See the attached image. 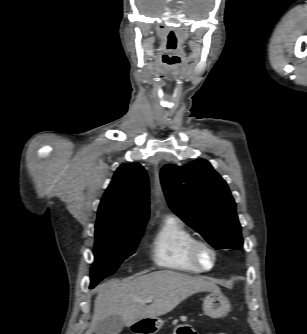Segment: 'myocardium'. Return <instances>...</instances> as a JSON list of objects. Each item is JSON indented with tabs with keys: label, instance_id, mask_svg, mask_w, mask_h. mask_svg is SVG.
<instances>
[{
	"label": "myocardium",
	"instance_id": "1",
	"mask_svg": "<svg viewBox=\"0 0 307 334\" xmlns=\"http://www.w3.org/2000/svg\"><path fill=\"white\" fill-rule=\"evenodd\" d=\"M206 249L208 250L213 257L212 264L210 266H205L200 258V250ZM188 253L189 257L192 260L194 264H196L199 268H201L203 271H210L212 270L218 261V253L216 248L209 243L208 241L197 239L195 238L188 247Z\"/></svg>",
	"mask_w": 307,
	"mask_h": 334
}]
</instances>
